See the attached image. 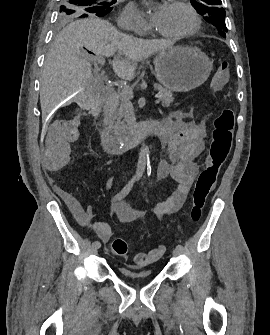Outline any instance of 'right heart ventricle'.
<instances>
[{"instance_id": "right-heart-ventricle-1", "label": "right heart ventricle", "mask_w": 270, "mask_h": 335, "mask_svg": "<svg viewBox=\"0 0 270 335\" xmlns=\"http://www.w3.org/2000/svg\"><path fill=\"white\" fill-rule=\"evenodd\" d=\"M159 78H173V77H159Z\"/></svg>"}]
</instances>
